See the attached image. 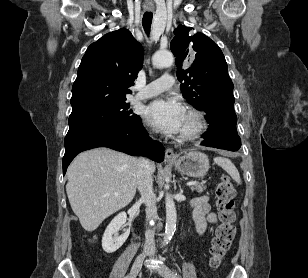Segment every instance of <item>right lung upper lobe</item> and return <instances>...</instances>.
<instances>
[{
	"label": "right lung upper lobe",
	"mask_w": 308,
	"mask_h": 278,
	"mask_svg": "<svg viewBox=\"0 0 308 278\" xmlns=\"http://www.w3.org/2000/svg\"><path fill=\"white\" fill-rule=\"evenodd\" d=\"M144 51L127 29L107 33L86 50L72 87L70 116L126 101Z\"/></svg>",
	"instance_id": "1"
}]
</instances>
